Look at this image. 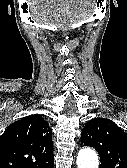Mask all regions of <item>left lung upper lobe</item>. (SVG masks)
Listing matches in <instances>:
<instances>
[{
	"label": "left lung upper lobe",
	"mask_w": 127,
	"mask_h": 168,
	"mask_svg": "<svg viewBox=\"0 0 127 168\" xmlns=\"http://www.w3.org/2000/svg\"><path fill=\"white\" fill-rule=\"evenodd\" d=\"M81 139L84 145L98 151L100 168H127V133L110 119L95 118L88 121Z\"/></svg>",
	"instance_id": "obj_1"
}]
</instances>
